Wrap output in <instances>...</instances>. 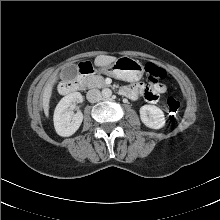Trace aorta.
I'll return each mask as SVG.
<instances>
[{"label":"aorta","mask_w":220,"mask_h":220,"mask_svg":"<svg viewBox=\"0 0 220 220\" xmlns=\"http://www.w3.org/2000/svg\"><path fill=\"white\" fill-rule=\"evenodd\" d=\"M111 95H112L111 89L105 88V89L102 90V96H103L104 98H110Z\"/></svg>","instance_id":"aorta-1"}]
</instances>
